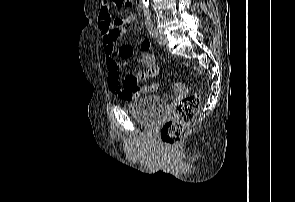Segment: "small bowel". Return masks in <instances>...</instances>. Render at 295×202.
<instances>
[{
	"mask_svg": "<svg viewBox=\"0 0 295 202\" xmlns=\"http://www.w3.org/2000/svg\"><path fill=\"white\" fill-rule=\"evenodd\" d=\"M128 23L136 21V15L130 14L126 20ZM98 26L101 34L102 47L106 54V63L108 69V79L110 91L124 100L138 99L143 95L150 94L156 90H125L120 82V64L119 61L126 62L133 55V48L130 45H120L115 50L116 42L128 34V28L124 25V20L112 17V9L109 0H101L100 10L98 16ZM151 47L149 41L138 43V48L147 52ZM141 56V55H140ZM135 79H156V74L151 75H136L133 74ZM141 85V84H139ZM180 98H190L188 89H183L180 93ZM170 107H179V102H170Z\"/></svg>",
	"mask_w": 295,
	"mask_h": 202,
	"instance_id": "1",
	"label": "small bowel"
}]
</instances>
